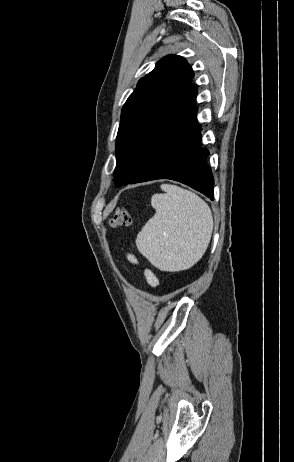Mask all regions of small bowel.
<instances>
[{"label": "small bowel", "instance_id": "obj_1", "mask_svg": "<svg viewBox=\"0 0 294 462\" xmlns=\"http://www.w3.org/2000/svg\"><path fill=\"white\" fill-rule=\"evenodd\" d=\"M130 259L134 260V258L132 256H130ZM144 275H145L147 283L151 287L155 288V287H157L159 285V280H158L157 276L151 270H149V269L146 270Z\"/></svg>", "mask_w": 294, "mask_h": 462}]
</instances>
